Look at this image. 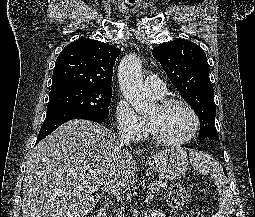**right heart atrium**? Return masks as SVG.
I'll return each mask as SVG.
<instances>
[{"mask_svg":"<svg viewBox=\"0 0 255 217\" xmlns=\"http://www.w3.org/2000/svg\"><path fill=\"white\" fill-rule=\"evenodd\" d=\"M116 126L122 135L130 140L143 138L147 134V123L125 100L119 99L115 105Z\"/></svg>","mask_w":255,"mask_h":217,"instance_id":"1","label":"right heart atrium"}]
</instances>
